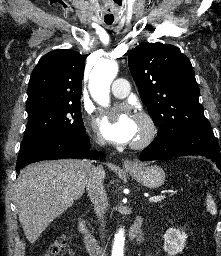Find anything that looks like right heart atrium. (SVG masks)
<instances>
[{"instance_id": "obj_1", "label": "right heart atrium", "mask_w": 221, "mask_h": 256, "mask_svg": "<svg viewBox=\"0 0 221 256\" xmlns=\"http://www.w3.org/2000/svg\"><path fill=\"white\" fill-rule=\"evenodd\" d=\"M95 141H96V143L99 144V145L104 144L103 138H102L100 135H98V134L95 135Z\"/></svg>"}]
</instances>
